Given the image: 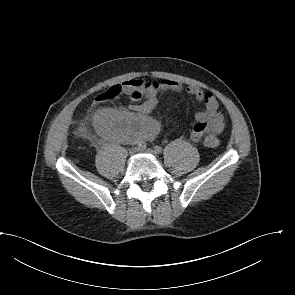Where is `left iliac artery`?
<instances>
[{"label": "left iliac artery", "instance_id": "obj_1", "mask_svg": "<svg viewBox=\"0 0 295 295\" xmlns=\"http://www.w3.org/2000/svg\"><path fill=\"white\" fill-rule=\"evenodd\" d=\"M154 151L156 154H160L162 153V147L157 145L154 147Z\"/></svg>", "mask_w": 295, "mask_h": 295}]
</instances>
